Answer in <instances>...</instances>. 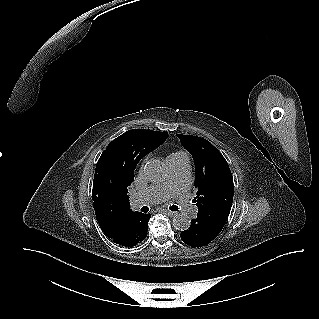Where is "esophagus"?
I'll use <instances>...</instances> for the list:
<instances>
[{"label":"esophagus","mask_w":319,"mask_h":319,"mask_svg":"<svg viewBox=\"0 0 319 319\" xmlns=\"http://www.w3.org/2000/svg\"><path fill=\"white\" fill-rule=\"evenodd\" d=\"M163 212H164L166 215L170 216V217H172V216H174V215L176 214L175 212L169 211V210H164Z\"/></svg>","instance_id":"34e87169"}]
</instances>
